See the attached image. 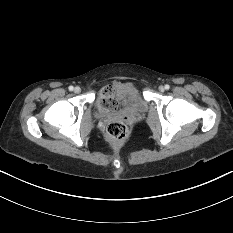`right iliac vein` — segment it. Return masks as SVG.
I'll list each match as a JSON object with an SVG mask.
<instances>
[{
	"mask_svg": "<svg viewBox=\"0 0 233 233\" xmlns=\"http://www.w3.org/2000/svg\"><path fill=\"white\" fill-rule=\"evenodd\" d=\"M74 92L77 93V94L80 93L81 92V88L78 87V86L75 87Z\"/></svg>",
	"mask_w": 233,
	"mask_h": 233,
	"instance_id": "right-iliac-vein-1",
	"label": "right iliac vein"
}]
</instances>
